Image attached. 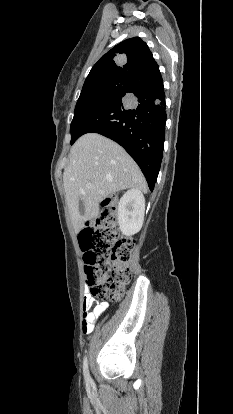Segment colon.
Returning <instances> with one entry per match:
<instances>
[{
    "mask_svg": "<svg viewBox=\"0 0 233 414\" xmlns=\"http://www.w3.org/2000/svg\"><path fill=\"white\" fill-rule=\"evenodd\" d=\"M116 226L117 204L114 198H108L95 224L82 230L79 236L91 296H108L115 301L131 281V255L135 246V240L122 236Z\"/></svg>",
    "mask_w": 233,
    "mask_h": 414,
    "instance_id": "1",
    "label": "colon"
}]
</instances>
